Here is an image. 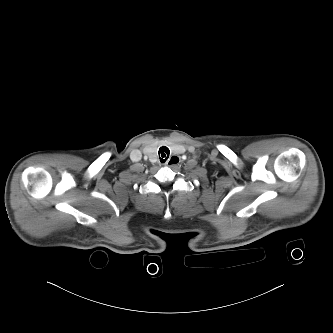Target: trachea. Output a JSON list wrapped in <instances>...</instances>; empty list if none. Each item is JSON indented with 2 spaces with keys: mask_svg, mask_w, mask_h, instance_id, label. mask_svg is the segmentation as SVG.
Segmentation results:
<instances>
[{
  "mask_svg": "<svg viewBox=\"0 0 333 333\" xmlns=\"http://www.w3.org/2000/svg\"><path fill=\"white\" fill-rule=\"evenodd\" d=\"M161 154V155H160ZM169 154H170V150L169 148H167L166 146H162L160 147L159 149V158H160V162L161 163H164L168 157H169ZM165 158V159H164Z\"/></svg>",
  "mask_w": 333,
  "mask_h": 333,
  "instance_id": "obj_1",
  "label": "trachea"
}]
</instances>
